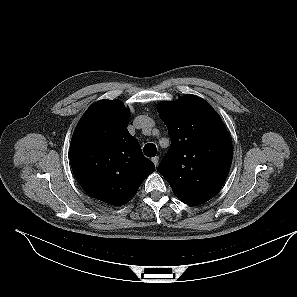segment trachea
<instances>
[{"instance_id":"3493384b","label":"trachea","mask_w":297,"mask_h":297,"mask_svg":"<svg viewBox=\"0 0 297 297\" xmlns=\"http://www.w3.org/2000/svg\"><path fill=\"white\" fill-rule=\"evenodd\" d=\"M143 151L147 157H154L156 155L157 148H156L155 144L148 143L144 146Z\"/></svg>"}]
</instances>
